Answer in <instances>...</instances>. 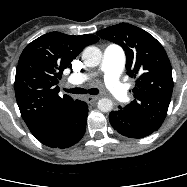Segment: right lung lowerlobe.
<instances>
[{
    "label": "right lung lower lobe",
    "instance_id": "obj_1",
    "mask_svg": "<svg viewBox=\"0 0 187 187\" xmlns=\"http://www.w3.org/2000/svg\"><path fill=\"white\" fill-rule=\"evenodd\" d=\"M88 105L78 100L51 127L35 136L51 148H67L77 143L84 135Z\"/></svg>",
    "mask_w": 187,
    "mask_h": 187
}]
</instances>
